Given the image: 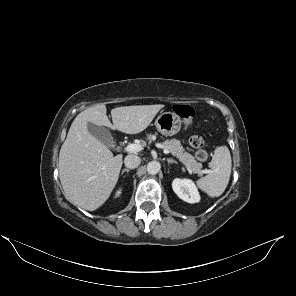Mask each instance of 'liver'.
I'll return each instance as SVG.
<instances>
[{"mask_svg":"<svg viewBox=\"0 0 296 296\" xmlns=\"http://www.w3.org/2000/svg\"><path fill=\"white\" fill-rule=\"evenodd\" d=\"M164 105H134L111 110L98 104L82 111L72 122L59 154V177L66 199L88 211L102 206L120 174L123 156L112 152L88 130V123L126 134L145 130Z\"/></svg>","mask_w":296,"mask_h":296,"instance_id":"liver-1","label":"liver"}]
</instances>
